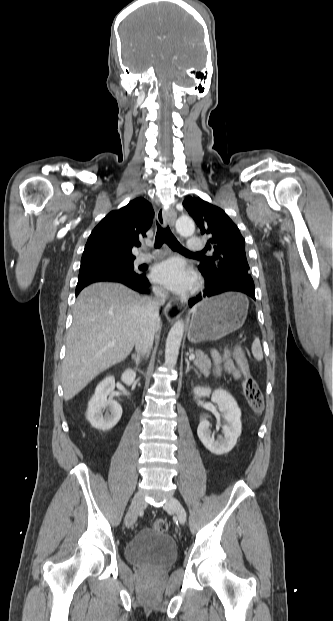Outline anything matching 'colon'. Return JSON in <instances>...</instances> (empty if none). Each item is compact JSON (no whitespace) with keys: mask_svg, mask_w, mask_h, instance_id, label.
I'll list each match as a JSON object with an SVG mask.
<instances>
[{"mask_svg":"<svg viewBox=\"0 0 333 621\" xmlns=\"http://www.w3.org/2000/svg\"><path fill=\"white\" fill-rule=\"evenodd\" d=\"M235 360L244 377L243 390L246 400L255 412H260L264 404L263 395L258 383L251 375L245 351L242 347L236 348ZM153 527L156 530L166 532L169 524L166 519L159 518L154 521Z\"/></svg>","mask_w":333,"mask_h":621,"instance_id":"colon-1","label":"colon"}]
</instances>
